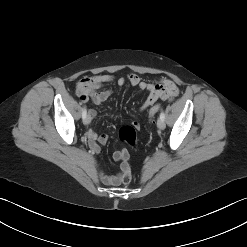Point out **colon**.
Listing matches in <instances>:
<instances>
[{
  "label": "colon",
  "instance_id": "1",
  "mask_svg": "<svg viewBox=\"0 0 247 247\" xmlns=\"http://www.w3.org/2000/svg\"><path fill=\"white\" fill-rule=\"evenodd\" d=\"M160 110V105L159 104H154L150 110H149V116L150 118H154L155 115L158 113ZM138 129V123L134 122L131 125L124 126L120 129L119 131V138L122 142L128 144L132 148H135L137 145V135L136 131ZM121 156H122V167H123V173L121 176V181L123 184H129L132 179L128 159L129 155L126 150L120 151Z\"/></svg>",
  "mask_w": 247,
  "mask_h": 247
}]
</instances>
